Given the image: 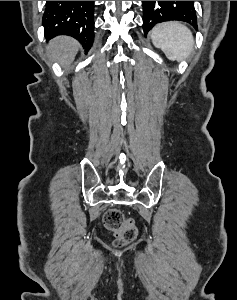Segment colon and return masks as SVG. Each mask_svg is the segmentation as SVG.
<instances>
[{"label": "colon", "instance_id": "1", "mask_svg": "<svg viewBox=\"0 0 237 300\" xmlns=\"http://www.w3.org/2000/svg\"><path fill=\"white\" fill-rule=\"evenodd\" d=\"M105 227L112 231L116 237L115 244L118 246L132 243L137 237V228L134 221L125 218L118 209H109L103 218Z\"/></svg>", "mask_w": 237, "mask_h": 300}]
</instances>
